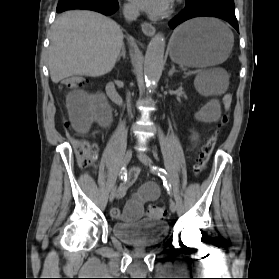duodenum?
Segmentation results:
<instances>
[{"label":"duodenum","instance_id":"obj_1","mask_svg":"<svg viewBox=\"0 0 279 279\" xmlns=\"http://www.w3.org/2000/svg\"><path fill=\"white\" fill-rule=\"evenodd\" d=\"M107 93L108 96L111 98V100L117 104V105H122L123 104V99L120 96V94L117 91V88L113 82H108L107 84Z\"/></svg>","mask_w":279,"mask_h":279}]
</instances>
